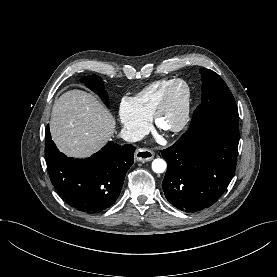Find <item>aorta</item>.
<instances>
[{
	"label": "aorta",
	"mask_w": 277,
	"mask_h": 277,
	"mask_svg": "<svg viewBox=\"0 0 277 277\" xmlns=\"http://www.w3.org/2000/svg\"><path fill=\"white\" fill-rule=\"evenodd\" d=\"M166 162L163 159H155L152 162V170L155 173H163L166 170Z\"/></svg>",
	"instance_id": "obj_1"
}]
</instances>
